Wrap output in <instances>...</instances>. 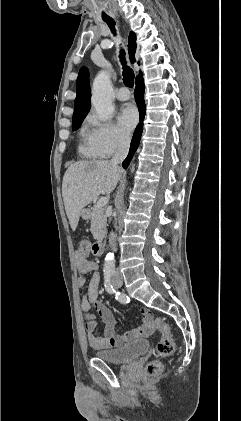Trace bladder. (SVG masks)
<instances>
[{
	"mask_svg": "<svg viewBox=\"0 0 241 421\" xmlns=\"http://www.w3.org/2000/svg\"><path fill=\"white\" fill-rule=\"evenodd\" d=\"M149 349V342L145 339L133 341L119 348L98 351L97 358L110 364H126L146 353Z\"/></svg>",
	"mask_w": 241,
	"mask_h": 421,
	"instance_id": "bladder-1",
	"label": "bladder"
}]
</instances>
